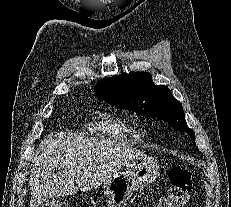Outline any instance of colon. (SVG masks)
<instances>
[{
	"label": "colon",
	"instance_id": "obj_1",
	"mask_svg": "<svg viewBox=\"0 0 231 207\" xmlns=\"http://www.w3.org/2000/svg\"><path fill=\"white\" fill-rule=\"evenodd\" d=\"M168 179L170 187L167 194L161 198L159 207H185L193 187L191 174L181 167H173L169 170ZM42 207L68 206L61 199H51Z\"/></svg>",
	"mask_w": 231,
	"mask_h": 207
}]
</instances>
